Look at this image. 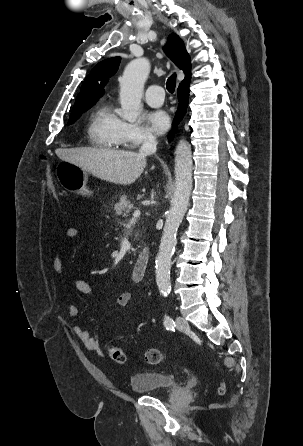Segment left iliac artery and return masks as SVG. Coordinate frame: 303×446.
<instances>
[{"mask_svg":"<svg viewBox=\"0 0 303 446\" xmlns=\"http://www.w3.org/2000/svg\"><path fill=\"white\" fill-rule=\"evenodd\" d=\"M164 326L167 330H174V326H175L174 320L166 314L164 316Z\"/></svg>","mask_w":303,"mask_h":446,"instance_id":"1","label":"left iliac artery"}]
</instances>
